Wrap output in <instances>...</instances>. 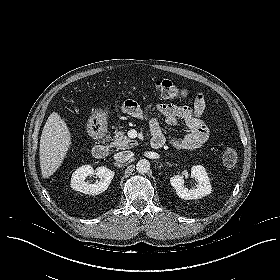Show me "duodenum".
Wrapping results in <instances>:
<instances>
[{
    "label": "duodenum",
    "instance_id": "obj_1",
    "mask_svg": "<svg viewBox=\"0 0 280 280\" xmlns=\"http://www.w3.org/2000/svg\"><path fill=\"white\" fill-rule=\"evenodd\" d=\"M105 136L104 132L96 134L97 143L93 147V156L96 159H103L109 154V147L102 142V138ZM164 146V140L161 137H153L151 140V147L153 149H160Z\"/></svg>",
    "mask_w": 280,
    "mask_h": 280
}]
</instances>
